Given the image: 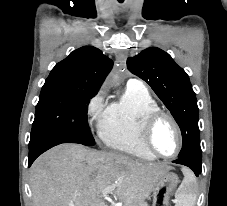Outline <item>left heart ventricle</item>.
Wrapping results in <instances>:
<instances>
[{"instance_id": "b2bd125f", "label": "left heart ventricle", "mask_w": 227, "mask_h": 206, "mask_svg": "<svg viewBox=\"0 0 227 206\" xmlns=\"http://www.w3.org/2000/svg\"><path fill=\"white\" fill-rule=\"evenodd\" d=\"M152 144L163 155L174 153L177 147V136L172 124L161 119L152 132Z\"/></svg>"}]
</instances>
